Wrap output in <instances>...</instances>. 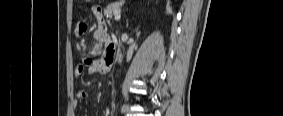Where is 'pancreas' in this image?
I'll return each instance as SVG.
<instances>
[{"label":"pancreas","instance_id":"pancreas-1","mask_svg":"<svg viewBox=\"0 0 283 116\" xmlns=\"http://www.w3.org/2000/svg\"><path fill=\"white\" fill-rule=\"evenodd\" d=\"M121 2L122 1L116 2L106 7V9L104 10V15L106 16V18L111 19L113 15H115V12L120 11Z\"/></svg>","mask_w":283,"mask_h":116}]
</instances>
